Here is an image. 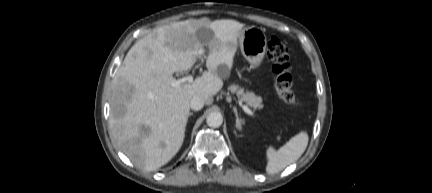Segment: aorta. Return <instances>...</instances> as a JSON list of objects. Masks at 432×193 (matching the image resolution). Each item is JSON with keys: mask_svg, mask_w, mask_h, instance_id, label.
Returning a JSON list of instances; mask_svg holds the SVG:
<instances>
[{"mask_svg": "<svg viewBox=\"0 0 432 193\" xmlns=\"http://www.w3.org/2000/svg\"><path fill=\"white\" fill-rule=\"evenodd\" d=\"M206 123L209 127L218 128L223 123V117L219 112H211L206 118Z\"/></svg>", "mask_w": 432, "mask_h": 193, "instance_id": "762f6f07", "label": "aorta"}]
</instances>
